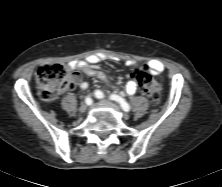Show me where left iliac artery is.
Segmentation results:
<instances>
[{
    "label": "left iliac artery",
    "mask_w": 222,
    "mask_h": 187,
    "mask_svg": "<svg viewBox=\"0 0 222 187\" xmlns=\"http://www.w3.org/2000/svg\"><path fill=\"white\" fill-rule=\"evenodd\" d=\"M95 95H96L97 98H104L105 97L104 93L100 90H97L95 92ZM109 99L118 102L125 112L130 111V105L123 98H121L120 96L113 94V95L109 96Z\"/></svg>",
    "instance_id": "left-iliac-artery-1"
}]
</instances>
